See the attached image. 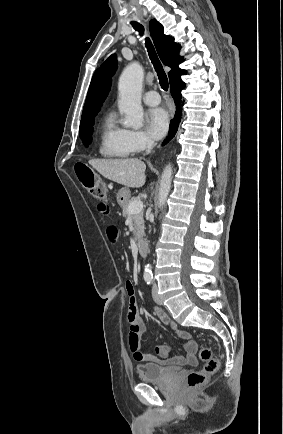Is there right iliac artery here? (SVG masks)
<instances>
[{
	"mask_svg": "<svg viewBox=\"0 0 283 434\" xmlns=\"http://www.w3.org/2000/svg\"><path fill=\"white\" fill-rule=\"evenodd\" d=\"M144 279H145V281H146L147 284H151V283H152V279H153V277H151V276H146Z\"/></svg>",
	"mask_w": 283,
	"mask_h": 434,
	"instance_id": "1",
	"label": "right iliac artery"
}]
</instances>
